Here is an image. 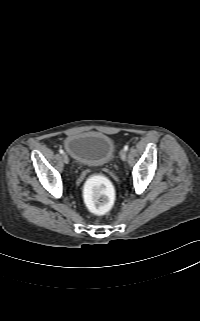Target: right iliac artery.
I'll return each instance as SVG.
<instances>
[{
    "mask_svg": "<svg viewBox=\"0 0 200 321\" xmlns=\"http://www.w3.org/2000/svg\"><path fill=\"white\" fill-rule=\"evenodd\" d=\"M59 152H60V154H63V153H64V151H63L62 149H60Z\"/></svg>",
    "mask_w": 200,
    "mask_h": 321,
    "instance_id": "obj_1",
    "label": "right iliac artery"
}]
</instances>
